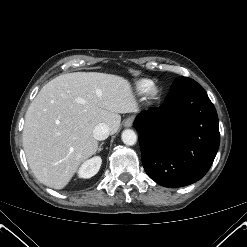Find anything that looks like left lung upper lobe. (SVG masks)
<instances>
[{
	"label": "left lung upper lobe",
	"mask_w": 247,
	"mask_h": 247,
	"mask_svg": "<svg viewBox=\"0 0 247 247\" xmlns=\"http://www.w3.org/2000/svg\"><path fill=\"white\" fill-rule=\"evenodd\" d=\"M191 80H193V79L181 76V77L177 78L174 82H187V81H191Z\"/></svg>",
	"instance_id": "obj_1"
}]
</instances>
